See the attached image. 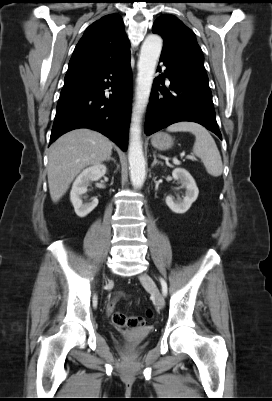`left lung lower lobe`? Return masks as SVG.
<instances>
[{
  "label": "left lung lower lobe",
  "mask_w": 272,
  "mask_h": 401,
  "mask_svg": "<svg viewBox=\"0 0 272 401\" xmlns=\"http://www.w3.org/2000/svg\"><path fill=\"white\" fill-rule=\"evenodd\" d=\"M160 62L166 70L154 80L144 128L146 135L176 122L192 121L222 139L206 72L165 56L160 57ZM164 77L170 80L169 89L164 86Z\"/></svg>",
  "instance_id": "0a47b994"
}]
</instances>
